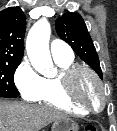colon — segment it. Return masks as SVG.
<instances>
[{"mask_svg": "<svg viewBox=\"0 0 117 131\" xmlns=\"http://www.w3.org/2000/svg\"><path fill=\"white\" fill-rule=\"evenodd\" d=\"M84 131H98L97 128L93 125H88L85 127Z\"/></svg>", "mask_w": 117, "mask_h": 131, "instance_id": "1", "label": "colon"}]
</instances>
